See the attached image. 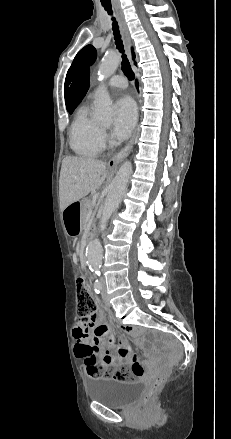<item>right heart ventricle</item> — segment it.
<instances>
[{
    "label": "right heart ventricle",
    "mask_w": 231,
    "mask_h": 439,
    "mask_svg": "<svg viewBox=\"0 0 231 439\" xmlns=\"http://www.w3.org/2000/svg\"><path fill=\"white\" fill-rule=\"evenodd\" d=\"M100 134L101 127L91 117L88 107L80 106L70 127L69 144L72 151L80 157H96L103 148Z\"/></svg>",
    "instance_id": "1"
}]
</instances>
